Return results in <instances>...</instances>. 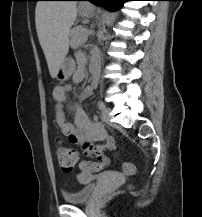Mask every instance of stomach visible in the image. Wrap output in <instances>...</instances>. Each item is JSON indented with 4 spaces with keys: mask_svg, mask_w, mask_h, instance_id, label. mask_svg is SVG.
<instances>
[{
    "mask_svg": "<svg viewBox=\"0 0 202 217\" xmlns=\"http://www.w3.org/2000/svg\"><path fill=\"white\" fill-rule=\"evenodd\" d=\"M80 14L83 16H90L92 15V9L91 8L81 9ZM74 70H75V64L71 60L65 59L57 71L56 78L61 82L66 81L73 74Z\"/></svg>",
    "mask_w": 202,
    "mask_h": 217,
    "instance_id": "obj_1",
    "label": "stomach"
}]
</instances>
